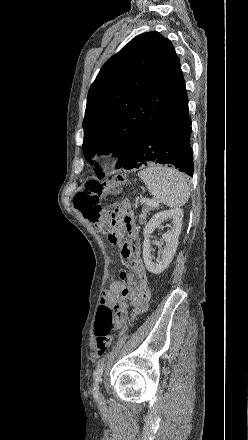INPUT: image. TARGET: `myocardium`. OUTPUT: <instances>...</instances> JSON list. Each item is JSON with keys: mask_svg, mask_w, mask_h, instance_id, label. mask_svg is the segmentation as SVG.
<instances>
[{"mask_svg": "<svg viewBox=\"0 0 248 440\" xmlns=\"http://www.w3.org/2000/svg\"><path fill=\"white\" fill-rule=\"evenodd\" d=\"M114 157V153L108 150H102L95 153L92 157V161L96 165H103L109 162Z\"/></svg>", "mask_w": 248, "mask_h": 440, "instance_id": "obj_1", "label": "myocardium"}]
</instances>
